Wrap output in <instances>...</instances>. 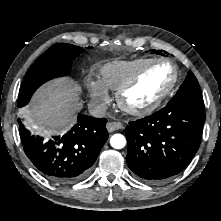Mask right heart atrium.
Listing matches in <instances>:
<instances>
[{
    "instance_id": "obj_1",
    "label": "right heart atrium",
    "mask_w": 221,
    "mask_h": 221,
    "mask_svg": "<svg viewBox=\"0 0 221 221\" xmlns=\"http://www.w3.org/2000/svg\"><path fill=\"white\" fill-rule=\"evenodd\" d=\"M85 85L94 104L101 107L109 101V89L100 79L87 78Z\"/></svg>"
}]
</instances>
